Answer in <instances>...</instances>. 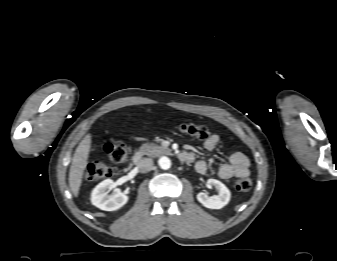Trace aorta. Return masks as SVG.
I'll return each mask as SVG.
<instances>
[{
	"label": "aorta",
	"instance_id": "aorta-1",
	"mask_svg": "<svg viewBox=\"0 0 337 261\" xmlns=\"http://www.w3.org/2000/svg\"><path fill=\"white\" fill-rule=\"evenodd\" d=\"M158 164L159 166L164 169V170H167L171 167V161L168 157L166 156H163L161 157L159 160H158Z\"/></svg>",
	"mask_w": 337,
	"mask_h": 261
}]
</instances>
